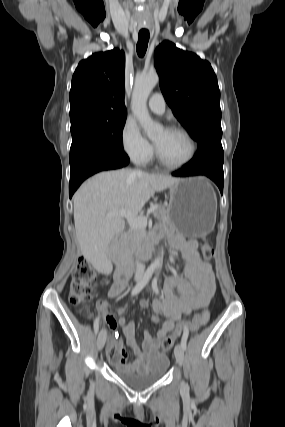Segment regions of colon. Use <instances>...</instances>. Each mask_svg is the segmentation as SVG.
I'll use <instances>...</instances> for the list:
<instances>
[{
  "instance_id": "1",
  "label": "colon",
  "mask_w": 285,
  "mask_h": 427,
  "mask_svg": "<svg viewBox=\"0 0 285 427\" xmlns=\"http://www.w3.org/2000/svg\"><path fill=\"white\" fill-rule=\"evenodd\" d=\"M201 255L204 260L212 259L214 256V249L212 245L209 243H204L201 246ZM97 277L98 275L96 271L92 268L87 260H79L76 264L70 281L68 293L70 303L73 305L87 304L92 299L94 292L100 288ZM202 324L203 314H195L188 324L178 326L173 336H168L163 340V350L168 351L171 349L173 345V338L175 336H180L183 333L188 334L189 331L194 332L198 330ZM114 342L115 341L111 339L109 344H113ZM109 357L114 361L120 360V354L115 349L109 353Z\"/></svg>"
}]
</instances>
